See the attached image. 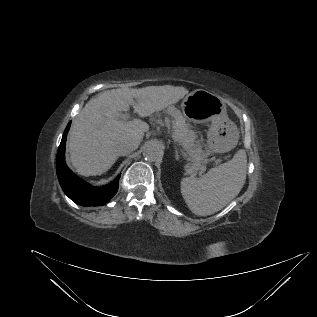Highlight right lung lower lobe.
<instances>
[{
	"label": "right lung lower lobe",
	"mask_w": 317,
	"mask_h": 317,
	"mask_svg": "<svg viewBox=\"0 0 317 317\" xmlns=\"http://www.w3.org/2000/svg\"><path fill=\"white\" fill-rule=\"evenodd\" d=\"M71 122L67 125L58 148L56 171L64 193L75 203L82 206L104 205L116 194L119 188L118 176L114 181L102 187H93L78 178L65 163V143Z\"/></svg>",
	"instance_id": "1"
}]
</instances>
